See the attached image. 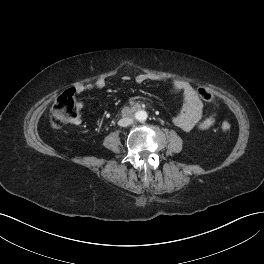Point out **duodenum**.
<instances>
[{
  "mask_svg": "<svg viewBox=\"0 0 264 264\" xmlns=\"http://www.w3.org/2000/svg\"><path fill=\"white\" fill-rule=\"evenodd\" d=\"M139 109H140L139 106H134V107L129 108L127 111H128V112H134V111H137V110H139Z\"/></svg>",
  "mask_w": 264,
  "mask_h": 264,
  "instance_id": "obj_1",
  "label": "duodenum"
}]
</instances>
